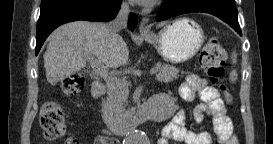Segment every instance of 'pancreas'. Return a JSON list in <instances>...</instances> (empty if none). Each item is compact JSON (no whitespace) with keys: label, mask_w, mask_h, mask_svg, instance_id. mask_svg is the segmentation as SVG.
<instances>
[{"label":"pancreas","mask_w":273,"mask_h":144,"mask_svg":"<svg viewBox=\"0 0 273 144\" xmlns=\"http://www.w3.org/2000/svg\"><path fill=\"white\" fill-rule=\"evenodd\" d=\"M156 68L159 70L156 79L160 82H172L179 76V69L173 65L157 63ZM127 95L128 91L119 86L108 87L107 98L102 104V118L111 130L123 125L132 113L125 109Z\"/></svg>","instance_id":"cf45deb5"}]
</instances>
